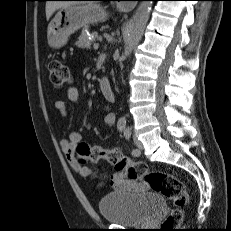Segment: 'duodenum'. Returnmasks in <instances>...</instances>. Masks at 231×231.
<instances>
[{
	"label": "duodenum",
	"instance_id": "1",
	"mask_svg": "<svg viewBox=\"0 0 231 231\" xmlns=\"http://www.w3.org/2000/svg\"><path fill=\"white\" fill-rule=\"evenodd\" d=\"M99 86L106 100H108L109 102H114L116 95L110 83L106 79L102 78L99 81Z\"/></svg>",
	"mask_w": 231,
	"mask_h": 231
}]
</instances>
